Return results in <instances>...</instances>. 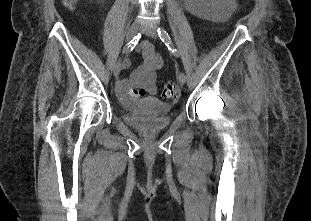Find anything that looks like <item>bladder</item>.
<instances>
[{
	"label": "bladder",
	"mask_w": 311,
	"mask_h": 221,
	"mask_svg": "<svg viewBox=\"0 0 311 221\" xmlns=\"http://www.w3.org/2000/svg\"><path fill=\"white\" fill-rule=\"evenodd\" d=\"M122 107L126 112L123 118L124 124L133 127L142 135H154L168 129L171 125L169 112L172 105L154 96L136 103L125 102Z\"/></svg>",
	"instance_id": "obj_1"
}]
</instances>
